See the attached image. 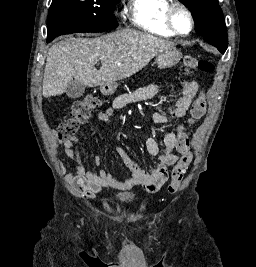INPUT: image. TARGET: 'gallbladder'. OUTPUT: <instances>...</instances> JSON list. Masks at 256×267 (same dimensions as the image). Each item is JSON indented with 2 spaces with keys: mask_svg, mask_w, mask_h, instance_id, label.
<instances>
[{
  "mask_svg": "<svg viewBox=\"0 0 256 267\" xmlns=\"http://www.w3.org/2000/svg\"><path fill=\"white\" fill-rule=\"evenodd\" d=\"M84 92H85L84 84H81V82H76V80H70L65 90V94H67L69 98H81Z\"/></svg>",
  "mask_w": 256,
  "mask_h": 267,
  "instance_id": "1",
  "label": "gallbladder"
}]
</instances>
